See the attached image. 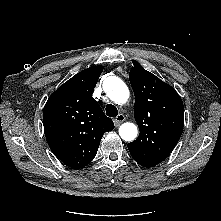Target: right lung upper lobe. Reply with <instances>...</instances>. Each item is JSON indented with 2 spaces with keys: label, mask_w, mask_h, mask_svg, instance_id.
Returning <instances> with one entry per match:
<instances>
[{
  "label": "right lung upper lobe",
  "mask_w": 221,
  "mask_h": 221,
  "mask_svg": "<svg viewBox=\"0 0 221 221\" xmlns=\"http://www.w3.org/2000/svg\"><path fill=\"white\" fill-rule=\"evenodd\" d=\"M103 66L87 68L60 86L43 111L46 140L67 166L80 169L96 156L103 134L114 128L92 92Z\"/></svg>",
  "instance_id": "cb5924a9"
}]
</instances>
